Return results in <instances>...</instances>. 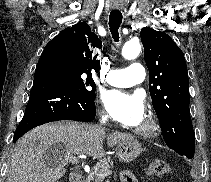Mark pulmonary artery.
<instances>
[{
    "instance_id": "e3ab8cb5",
    "label": "pulmonary artery",
    "mask_w": 211,
    "mask_h": 182,
    "mask_svg": "<svg viewBox=\"0 0 211 182\" xmlns=\"http://www.w3.org/2000/svg\"><path fill=\"white\" fill-rule=\"evenodd\" d=\"M145 68L140 63H132L129 67L121 70H110L106 81L116 87H129L143 82Z\"/></svg>"
}]
</instances>
